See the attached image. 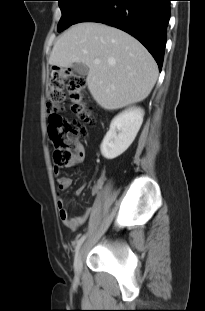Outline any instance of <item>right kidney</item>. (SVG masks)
<instances>
[{"mask_svg":"<svg viewBox=\"0 0 205 311\" xmlns=\"http://www.w3.org/2000/svg\"><path fill=\"white\" fill-rule=\"evenodd\" d=\"M143 116L142 109L131 108L112 120L101 144V153L106 159H114L128 149L142 125Z\"/></svg>","mask_w":205,"mask_h":311,"instance_id":"right-kidney-1","label":"right kidney"}]
</instances>
